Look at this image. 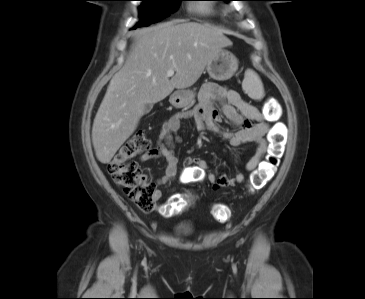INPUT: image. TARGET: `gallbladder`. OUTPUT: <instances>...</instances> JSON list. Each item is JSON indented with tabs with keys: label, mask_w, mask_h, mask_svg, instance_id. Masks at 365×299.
<instances>
[{
	"label": "gallbladder",
	"mask_w": 365,
	"mask_h": 299,
	"mask_svg": "<svg viewBox=\"0 0 365 299\" xmlns=\"http://www.w3.org/2000/svg\"><path fill=\"white\" fill-rule=\"evenodd\" d=\"M153 108V104H146L144 106L143 114H148Z\"/></svg>",
	"instance_id": "obj_1"
}]
</instances>
